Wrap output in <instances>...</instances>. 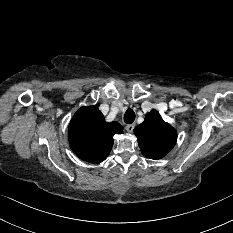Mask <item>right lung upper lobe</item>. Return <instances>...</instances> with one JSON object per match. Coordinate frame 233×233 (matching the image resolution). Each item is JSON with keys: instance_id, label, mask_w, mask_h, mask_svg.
Returning <instances> with one entry per match:
<instances>
[{"instance_id": "right-lung-upper-lobe-1", "label": "right lung upper lobe", "mask_w": 233, "mask_h": 233, "mask_svg": "<svg viewBox=\"0 0 233 233\" xmlns=\"http://www.w3.org/2000/svg\"><path fill=\"white\" fill-rule=\"evenodd\" d=\"M118 122L108 123L97 106L81 107L73 116L68 139L73 152L89 163H101L113 146V136L122 134Z\"/></svg>"}]
</instances>
